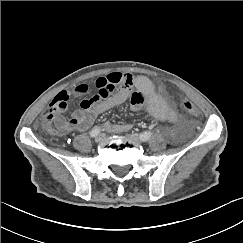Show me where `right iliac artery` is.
<instances>
[{"label": "right iliac artery", "mask_w": 243, "mask_h": 243, "mask_svg": "<svg viewBox=\"0 0 243 243\" xmlns=\"http://www.w3.org/2000/svg\"><path fill=\"white\" fill-rule=\"evenodd\" d=\"M101 131V128L98 126H95L91 131H90V136L95 137L97 136Z\"/></svg>", "instance_id": "right-iliac-artery-1"}]
</instances>
